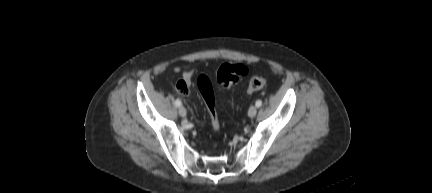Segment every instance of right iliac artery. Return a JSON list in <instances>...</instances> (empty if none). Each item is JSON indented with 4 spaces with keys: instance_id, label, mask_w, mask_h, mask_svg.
Instances as JSON below:
<instances>
[{
    "instance_id": "right-iliac-artery-1",
    "label": "right iliac artery",
    "mask_w": 432,
    "mask_h": 193,
    "mask_svg": "<svg viewBox=\"0 0 432 193\" xmlns=\"http://www.w3.org/2000/svg\"><path fill=\"white\" fill-rule=\"evenodd\" d=\"M181 101L179 100V99H177L176 101H175V105L177 106V107H179V106H181Z\"/></svg>"
}]
</instances>
